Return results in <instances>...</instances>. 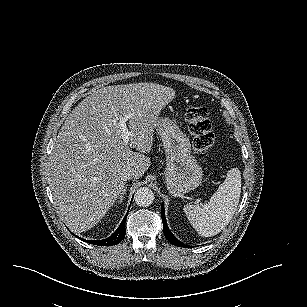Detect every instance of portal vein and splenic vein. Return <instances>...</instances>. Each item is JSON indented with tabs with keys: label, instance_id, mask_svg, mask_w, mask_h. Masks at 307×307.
Returning <instances> with one entry per match:
<instances>
[{
	"label": "portal vein and splenic vein",
	"instance_id": "18ae733b",
	"mask_svg": "<svg viewBox=\"0 0 307 307\" xmlns=\"http://www.w3.org/2000/svg\"><path fill=\"white\" fill-rule=\"evenodd\" d=\"M128 120H129V117L124 116L122 118H118L116 121H113V123L119 128V131L121 133L122 142L125 147L129 146V139H130V131L128 130L127 124H126Z\"/></svg>",
	"mask_w": 307,
	"mask_h": 307
}]
</instances>
